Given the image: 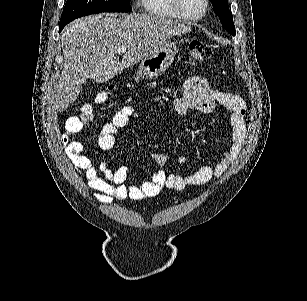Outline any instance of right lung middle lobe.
<instances>
[{
	"label": "right lung middle lobe",
	"mask_w": 307,
	"mask_h": 301,
	"mask_svg": "<svg viewBox=\"0 0 307 301\" xmlns=\"http://www.w3.org/2000/svg\"><path fill=\"white\" fill-rule=\"evenodd\" d=\"M129 0H67L62 12L59 32L76 18L101 12H130Z\"/></svg>",
	"instance_id": "obj_1"
}]
</instances>
